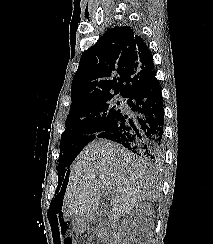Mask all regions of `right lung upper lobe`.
<instances>
[{"mask_svg": "<svg viewBox=\"0 0 213 244\" xmlns=\"http://www.w3.org/2000/svg\"><path fill=\"white\" fill-rule=\"evenodd\" d=\"M152 60L146 43L134 29H109L81 56L72 81L70 108L103 96L130 97L154 71Z\"/></svg>", "mask_w": 213, "mask_h": 244, "instance_id": "right-lung-upper-lobe-1", "label": "right lung upper lobe"}]
</instances>
